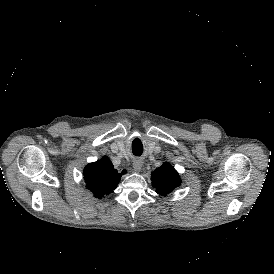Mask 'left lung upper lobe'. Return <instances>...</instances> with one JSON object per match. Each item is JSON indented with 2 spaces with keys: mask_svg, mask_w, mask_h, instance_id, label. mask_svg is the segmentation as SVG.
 Masks as SVG:
<instances>
[{
  "mask_svg": "<svg viewBox=\"0 0 274 274\" xmlns=\"http://www.w3.org/2000/svg\"><path fill=\"white\" fill-rule=\"evenodd\" d=\"M151 180L157 193L162 196L171 193L181 183L178 173L169 163L155 169L151 173Z\"/></svg>",
  "mask_w": 274,
  "mask_h": 274,
  "instance_id": "left-lung-upper-lobe-1",
  "label": "left lung upper lobe"
}]
</instances>
